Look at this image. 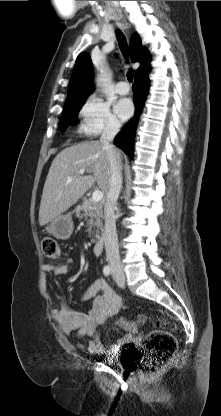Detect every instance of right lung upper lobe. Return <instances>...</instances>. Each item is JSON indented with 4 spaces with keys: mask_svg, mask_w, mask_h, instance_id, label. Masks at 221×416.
<instances>
[{
    "mask_svg": "<svg viewBox=\"0 0 221 416\" xmlns=\"http://www.w3.org/2000/svg\"><path fill=\"white\" fill-rule=\"evenodd\" d=\"M129 51L132 62H140V67L135 71V76L150 70V55L142 46L137 33L131 39ZM92 80L93 69L89 54L82 52L75 62L66 102L85 99L93 91Z\"/></svg>",
    "mask_w": 221,
    "mask_h": 416,
    "instance_id": "1",
    "label": "right lung upper lobe"
}]
</instances>
